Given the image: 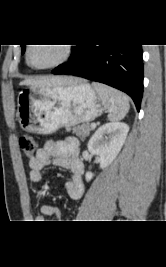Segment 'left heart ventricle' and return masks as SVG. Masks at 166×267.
Masks as SVG:
<instances>
[{"label":"left heart ventricle","instance_id":"obj_1","mask_svg":"<svg viewBox=\"0 0 166 267\" xmlns=\"http://www.w3.org/2000/svg\"><path fill=\"white\" fill-rule=\"evenodd\" d=\"M63 54L62 46L58 44H35L29 53L33 66H44L56 62Z\"/></svg>","mask_w":166,"mask_h":267}]
</instances>
